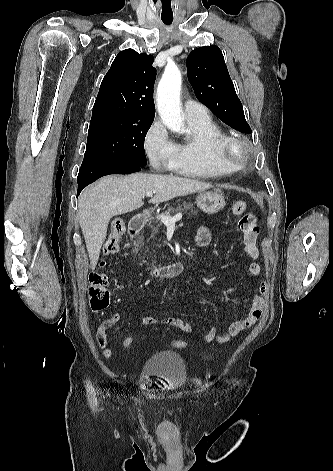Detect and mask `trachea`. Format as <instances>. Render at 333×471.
Masks as SVG:
<instances>
[{
	"label": "trachea",
	"mask_w": 333,
	"mask_h": 471,
	"mask_svg": "<svg viewBox=\"0 0 333 471\" xmlns=\"http://www.w3.org/2000/svg\"><path fill=\"white\" fill-rule=\"evenodd\" d=\"M163 22H164L165 24H170V23L172 22V20H163Z\"/></svg>",
	"instance_id": "3493384b"
}]
</instances>
